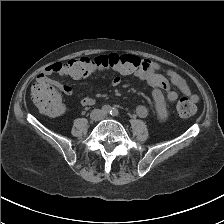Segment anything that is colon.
Returning a JSON list of instances; mask_svg holds the SVG:
<instances>
[{"instance_id": "1", "label": "colon", "mask_w": 224, "mask_h": 224, "mask_svg": "<svg viewBox=\"0 0 224 224\" xmlns=\"http://www.w3.org/2000/svg\"><path fill=\"white\" fill-rule=\"evenodd\" d=\"M142 61L134 55L110 53L93 58L78 57L63 63L68 77L81 79L97 72L113 71L129 75L141 66ZM31 97L40 112L49 116H58L63 112V103L55 87L46 83H35ZM177 113L183 118L191 117L196 112L194 101L181 98L177 103Z\"/></svg>"}]
</instances>
